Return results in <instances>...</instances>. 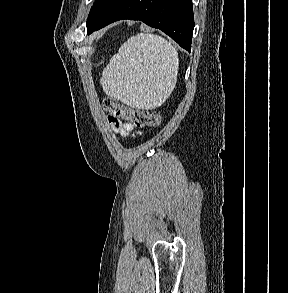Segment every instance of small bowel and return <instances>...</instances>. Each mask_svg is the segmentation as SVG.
<instances>
[{
    "label": "small bowel",
    "mask_w": 288,
    "mask_h": 293,
    "mask_svg": "<svg viewBox=\"0 0 288 293\" xmlns=\"http://www.w3.org/2000/svg\"><path fill=\"white\" fill-rule=\"evenodd\" d=\"M108 122L112 129L122 137L130 136L136 129L132 123H122L118 119L111 117V115L108 117Z\"/></svg>",
    "instance_id": "1"
}]
</instances>
